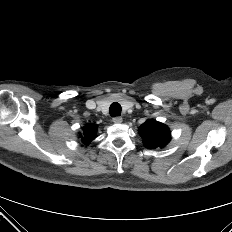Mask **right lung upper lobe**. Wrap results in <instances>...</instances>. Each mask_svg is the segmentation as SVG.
Returning <instances> with one entry per match:
<instances>
[{
    "mask_svg": "<svg viewBox=\"0 0 232 232\" xmlns=\"http://www.w3.org/2000/svg\"><path fill=\"white\" fill-rule=\"evenodd\" d=\"M96 129H97L96 125L93 124L87 125L86 131H84L83 135L80 134V137H82L81 139L82 143L88 145L94 138L93 136H91V134H94L96 132Z\"/></svg>",
    "mask_w": 232,
    "mask_h": 232,
    "instance_id": "cb5924a9",
    "label": "right lung upper lobe"
}]
</instances>
